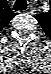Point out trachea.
I'll use <instances>...</instances> for the list:
<instances>
[{
  "instance_id": "obj_1",
  "label": "trachea",
  "mask_w": 51,
  "mask_h": 74,
  "mask_svg": "<svg viewBox=\"0 0 51 74\" xmlns=\"http://www.w3.org/2000/svg\"><path fill=\"white\" fill-rule=\"evenodd\" d=\"M26 9H27V2L25 0H16L14 4L15 11L26 10Z\"/></svg>"
}]
</instances>
